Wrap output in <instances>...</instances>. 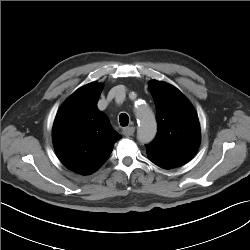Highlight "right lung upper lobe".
<instances>
[{"instance_id": "obj_1", "label": "right lung upper lobe", "mask_w": 250, "mask_h": 250, "mask_svg": "<svg viewBox=\"0 0 250 250\" xmlns=\"http://www.w3.org/2000/svg\"><path fill=\"white\" fill-rule=\"evenodd\" d=\"M101 91L99 83L78 89L61 106L53 125L58 158L68 169L82 175L98 170L121 138L97 108Z\"/></svg>"}]
</instances>
